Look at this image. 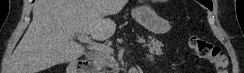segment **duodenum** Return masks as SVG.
<instances>
[{
	"label": "duodenum",
	"mask_w": 244,
	"mask_h": 73,
	"mask_svg": "<svg viewBox=\"0 0 244 73\" xmlns=\"http://www.w3.org/2000/svg\"><path fill=\"white\" fill-rule=\"evenodd\" d=\"M137 69H132L130 73H136ZM68 73H95L94 66L90 62L72 60L68 66Z\"/></svg>",
	"instance_id": "obj_1"
}]
</instances>
